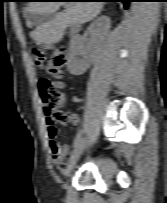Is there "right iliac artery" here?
<instances>
[{
  "label": "right iliac artery",
  "mask_w": 167,
  "mask_h": 203,
  "mask_svg": "<svg viewBox=\"0 0 167 203\" xmlns=\"http://www.w3.org/2000/svg\"><path fill=\"white\" fill-rule=\"evenodd\" d=\"M81 138H82V133L80 132V133L76 136V138H75V140H74L73 147H76V146L79 144V142L81 141Z\"/></svg>",
  "instance_id": "right-iliac-artery-1"
}]
</instances>
